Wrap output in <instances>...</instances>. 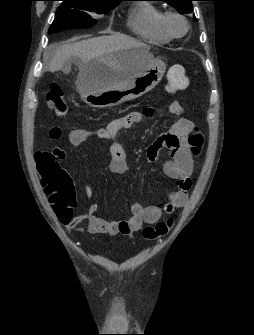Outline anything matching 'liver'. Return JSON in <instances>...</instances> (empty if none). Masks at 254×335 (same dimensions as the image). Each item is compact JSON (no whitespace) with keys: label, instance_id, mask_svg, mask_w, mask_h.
<instances>
[{"label":"liver","instance_id":"liver-1","mask_svg":"<svg viewBox=\"0 0 254 335\" xmlns=\"http://www.w3.org/2000/svg\"><path fill=\"white\" fill-rule=\"evenodd\" d=\"M140 41L126 35L99 36L58 47L48 64L50 72L63 70L69 60L76 61L79 67L78 79L88 73L90 63L98 58L108 60L112 53L131 47L143 46ZM70 67H66L68 71ZM132 73H117L111 76L107 89L119 88ZM78 88V87H77ZM80 92V89L78 88Z\"/></svg>","mask_w":254,"mask_h":335}]
</instances>
